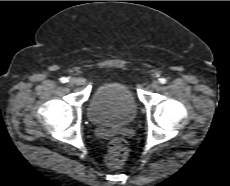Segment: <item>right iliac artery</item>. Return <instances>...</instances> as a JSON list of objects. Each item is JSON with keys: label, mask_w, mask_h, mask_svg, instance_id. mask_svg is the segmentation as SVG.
Here are the masks:
<instances>
[{"label": "right iliac artery", "mask_w": 230, "mask_h": 186, "mask_svg": "<svg viewBox=\"0 0 230 186\" xmlns=\"http://www.w3.org/2000/svg\"><path fill=\"white\" fill-rule=\"evenodd\" d=\"M60 81H61L62 83H66V82H68V78L62 77V78H60Z\"/></svg>", "instance_id": "1"}]
</instances>
